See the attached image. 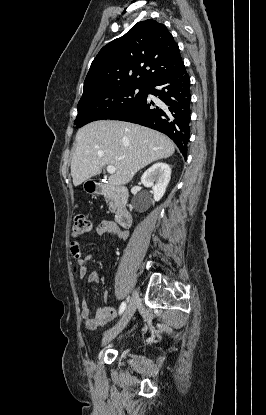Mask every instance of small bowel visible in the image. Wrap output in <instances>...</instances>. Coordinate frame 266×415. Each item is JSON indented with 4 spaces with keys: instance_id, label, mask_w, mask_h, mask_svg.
<instances>
[{
    "instance_id": "c3829d8e",
    "label": "small bowel",
    "mask_w": 266,
    "mask_h": 415,
    "mask_svg": "<svg viewBox=\"0 0 266 415\" xmlns=\"http://www.w3.org/2000/svg\"><path fill=\"white\" fill-rule=\"evenodd\" d=\"M96 234L98 236H104L109 234L116 237L119 240H126L129 236L126 230L119 228L116 224L109 220H103L96 226ZM70 251L72 256L76 259L77 263L82 266L79 277L84 278L86 276L85 265L93 259V255H88L85 258L82 257L81 245L78 242H71ZM100 280V276L97 271H92L87 276L88 283H97ZM104 300L107 302L108 293H104ZM116 316V310L109 304L97 310L94 316L91 315L89 305L86 301L81 303V318L84 325L89 329H96L99 326H104Z\"/></svg>"
}]
</instances>
